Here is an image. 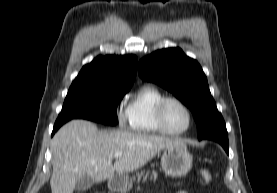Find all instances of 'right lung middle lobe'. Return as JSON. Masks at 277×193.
Wrapping results in <instances>:
<instances>
[{
  "instance_id": "dd1d6c3e",
  "label": "right lung middle lobe",
  "mask_w": 277,
  "mask_h": 193,
  "mask_svg": "<svg viewBox=\"0 0 277 193\" xmlns=\"http://www.w3.org/2000/svg\"><path fill=\"white\" fill-rule=\"evenodd\" d=\"M127 91L69 89L56 122L80 118L107 125L117 123V106Z\"/></svg>"
}]
</instances>
